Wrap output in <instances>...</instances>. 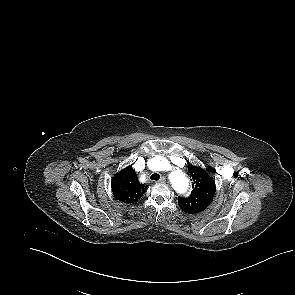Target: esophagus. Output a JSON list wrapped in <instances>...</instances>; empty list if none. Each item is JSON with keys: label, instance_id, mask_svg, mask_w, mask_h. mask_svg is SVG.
<instances>
[{"label": "esophagus", "instance_id": "obj_1", "mask_svg": "<svg viewBox=\"0 0 295 295\" xmlns=\"http://www.w3.org/2000/svg\"><path fill=\"white\" fill-rule=\"evenodd\" d=\"M165 181H166V178L163 176V177H161L160 179H159V183H165Z\"/></svg>", "mask_w": 295, "mask_h": 295}]
</instances>
